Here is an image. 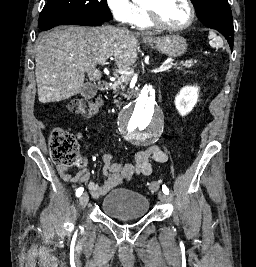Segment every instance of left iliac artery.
Instances as JSON below:
<instances>
[{
    "instance_id": "44dca946",
    "label": "left iliac artery",
    "mask_w": 256,
    "mask_h": 267,
    "mask_svg": "<svg viewBox=\"0 0 256 267\" xmlns=\"http://www.w3.org/2000/svg\"><path fill=\"white\" fill-rule=\"evenodd\" d=\"M162 191H163L166 195L169 194V189L167 188L166 185H162Z\"/></svg>"
}]
</instances>
